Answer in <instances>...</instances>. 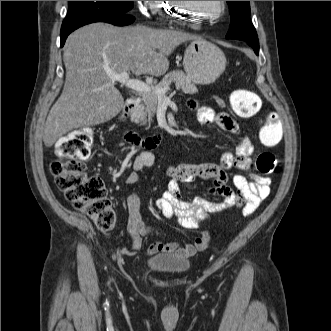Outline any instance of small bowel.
<instances>
[{
  "instance_id": "obj_1",
  "label": "small bowel",
  "mask_w": 331,
  "mask_h": 331,
  "mask_svg": "<svg viewBox=\"0 0 331 331\" xmlns=\"http://www.w3.org/2000/svg\"><path fill=\"white\" fill-rule=\"evenodd\" d=\"M196 111L197 120L203 125L215 124L221 130L233 135L240 134L236 121L227 113H216L206 106L190 104ZM254 146L249 138L243 136L236 144L234 153L224 152L218 164H180L169 166L167 175L170 178L167 190L156 201L157 209L167 218L175 217L179 224L188 229H195L201 221L207 219L212 213L221 212L227 208L240 207L245 216L252 214L261 201L270 194V179L259 174L235 175L234 188L227 185V170L237 168L247 171L252 166ZM154 156L149 151L138 154L133 161V171L127 176L128 184H137L140 180L139 172L153 165ZM202 178L212 181L207 194L223 199L220 203L207 200L203 196H195L188 200L183 199L180 184L192 183ZM128 210L127 233L131 239V247L121 249L124 255H133L140 250L144 236L156 231L154 227L147 226L141 219L140 197L131 192L126 199ZM203 238L209 239L208 234ZM198 248L193 244L180 245L179 243H165L156 241L148 249V255L173 252L188 258L196 253Z\"/></svg>"
}]
</instances>
